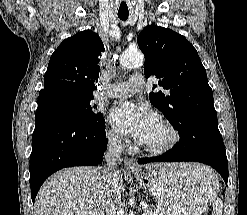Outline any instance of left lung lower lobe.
<instances>
[{"label": "left lung lower lobe", "mask_w": 247, "mask_h": 215, "mask_svg": "<svg viewBox=\"0 0 247 215\" xmlns=\"http://www.w3.org/2000/svg\"><path fill=\"white\" fill-rule=\"evenodd\" d=\"M176 146L161 156L142 158L139 164L150 162H200L210 165L228 181V161L222 136L216 126H201L183 131Z\"/></svg>", "instance_id": "1"}]
</instances>
